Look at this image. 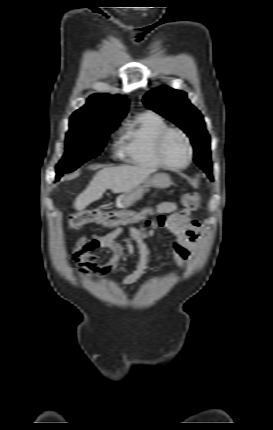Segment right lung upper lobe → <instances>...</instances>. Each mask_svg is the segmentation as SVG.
Here are the masks:
<instances>
[{"mask_svg": "<svg viewBox=\"0 0 273 430\" xmlns=\"http://www.w3.org/2000/svg\"><path fill=\"white\" fill-rule=\"evenodd\" d=\"M128 100L120 95L94 94L89 97L85 106L77 110L75 119L120 122L127 114Z\"/></svg>", "mask_w": 273, "mask_h": 430, "instance_id": "1", "label": "right lung upper lobe"}]
</instances>
